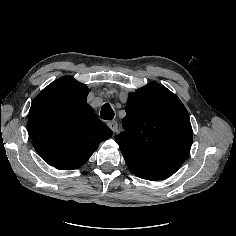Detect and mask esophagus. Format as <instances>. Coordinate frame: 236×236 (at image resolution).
<instances>
[{"instance_id":"1","label":"esophagus","mask_w":236,"mask_h":236,"mask_svg":"<svg viewBox=\"0 0 236 236\" xmlns=\"http://www.w3.org/2000/svg\"><path fill=\"white\" fill-rule=\"evenodd\" d=\"M108 126L114 133L117 132V129H118L117 121L112 120V121L108 122Z\"/></svg>"}]
</instances>
